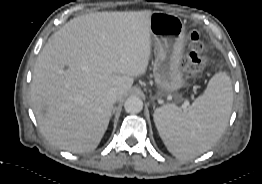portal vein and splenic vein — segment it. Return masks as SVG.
<instances>
[{"mask_svg": "<svg viewBox=\"0 0 262 184\" xmlns=\"http://www.w3.org/2000/svg\"><path fill=\"white\" fill-rule=\"evenodd\" d=\"M188 105V102L186 101L185 103H184V106L186 107Z\"/></svg>", "mask_w": 262, "mask_h": 184, "instance_id": "1", "label": "portal vein and splenic vein"}]
</instances>
